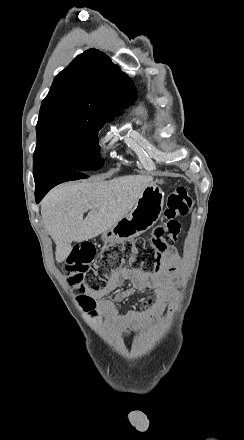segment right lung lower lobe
<instances>
[{
	"mask_svg": "<svg viewBox=\"0 0 244 440\" xmlns=\"http://www.w3.org/2000/svg\"><path fill=\"white\" fill-rule=\"evenodd\" d=\"M85 172L72 170L69 168H44L34 172L36 184L35 200L39 203L46 193L54 186L70 181L87 178Z\"/></svg>",
	"mask_w": 244,
	"mask_h": 440,
	"instance_id": "right-lung-lower-lobe-1",
	"label": "right lung lower lobe"
}]
</instances>
